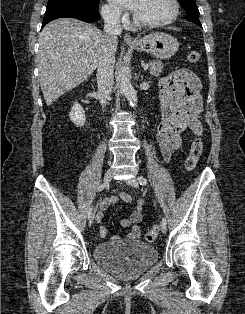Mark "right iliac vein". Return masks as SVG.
<instances>
[{
  "label": "right iliac vein",
  "mask_w": 245,
  "mask_h": 314,
  "mask_svg": "<svg viewBox=\"0 0 245 314\" xmlns=\"http://www.w3.org/2000/svg\"><path fill=\"white\" fill-rule=\"evenodd\" d=\"M112 179V171L111 170H108L105 175H104V178H103V185L104 187H107L108 184L110 183ZM94 216H95V211H92L89 215H88V222H89V225H91L93 223V220H94Z\"/></svg>",
  "instance_id": "right-iliac-vein-1"
}]
</instances>
